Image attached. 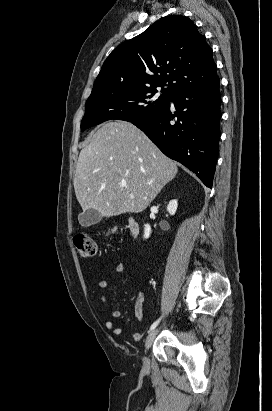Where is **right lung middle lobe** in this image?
<instances>
[{
  "label": "right lung middle lobe",
  "mask_w": 272,
  "mask_h": 411,
  "mask_svg": "<svg viewBox=\"0 0 272 411\" xmlns=\"http://www.w3.org/2000/svg\"><path fill=\"white\" fill-rule=\"evenodd\" d=\"M157 87L127 86L92 92L86 102L81 130L117 119L129 122L149 118L166 107L172 99L167 89Z\"/></svg>",
  "instance_id": "dd1d6c3e"
}]
</instances>
